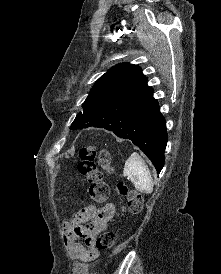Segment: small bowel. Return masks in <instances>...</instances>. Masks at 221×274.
Wrapping results in <instances>:
<instances>
[{"instance_id": "obj_1", "label": "small bowel", "mask_w": 221, "mask_h": 274, "mask_svg": "<svg viewBox=\"0 0 221 274\" xmlns=\"http://www.w3.org/2000/svg\"><path fill=\"white\" fill-rule=\"evenodd\" d=\"M114 213L115 206L112 203L102 207L90 205L80 209L64 223L65 244L73 259L90 262L99 256L97 235L106 228Z\"/></svg>"}]
</instances>
